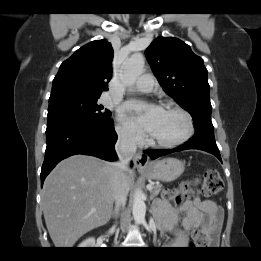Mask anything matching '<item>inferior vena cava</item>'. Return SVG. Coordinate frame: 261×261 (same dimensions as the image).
<instances>
[{
    "label": "inferior vena cava",
    "mask_w": 261,
    "mask_h": 261,
    "mask_svg": "<svg viewBox=\"0 0 261 261\" xmlns=\"http://www.w3.org/2000/svg\"><path fill=\"white\" fill-rule=\"evenodd\" d=\"M136 136L132 132H122L118 136L115 144V150L119 161L115 162L113 183H114V201L116 206L124 207L129 192V186L125 181V171L128 169L131 158L135 155L137 144Z\"/></svg>",
    "instance_id": "602c4592"
}]
</instances>
